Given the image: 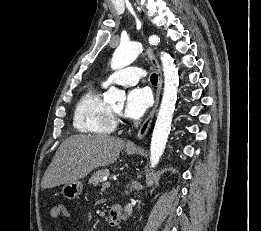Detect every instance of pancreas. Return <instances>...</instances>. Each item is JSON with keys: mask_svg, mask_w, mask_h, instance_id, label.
<instances>
[{"mask_svg": "<svg viewBox=\"0 0 261 231\" xmlns=\"http://www.w3.org/2000/svg\"><path fill=\"white\" fill-rule=\"evenodd\" d=\"M109 174H110L109 170L106 168L97 170L96 172L93 173V175L89 179V184H93L94 186H96L102 182V178L104 176H108Z\"/></svg>", "mask_w": 261, "mask_h": 231, "instance_id": "1", "label": "pancreas"}]
</instances>
